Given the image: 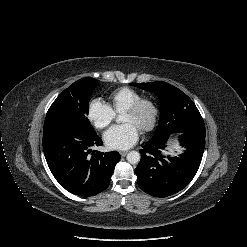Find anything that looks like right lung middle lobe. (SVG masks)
I'll use <instances>...</instances> for the list:
<instances>
[{"label": "right lung middle lobe", "mask_w": 247, "mask_h": 247, "mask_svg": "<svg viewBox=\"0 0 247 247\" xmlns=\"http://www.w3.org/2000/svg\"><path fill=\"white\" fill-rule=\"evenodd\" d=\"M97 85L98 81L94 78H83L74 82L53 102L44 124L70 122L95 132L87 115L90 96Z\"/></svg>", "instance_id": "1"}]
</instances>
